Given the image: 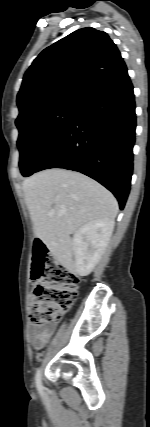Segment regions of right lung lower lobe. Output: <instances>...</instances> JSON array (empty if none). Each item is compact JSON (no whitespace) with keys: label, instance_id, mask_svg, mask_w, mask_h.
Listing matches in <instances>:
<instances>
[{"label":"right lung lower lobe","instance_id":"98d812e1","mask_svg":"<svg viewBox=\"0 0 150 427\" xmlns=\"http://www.w3.org/2000/svg\"><path fill=\"white\" fill-rule=\"evenodd\" d=\"M135 101L127 71L85 99L35 172L79 171L104 185L124 208L133 171Z\"/></svg>","mask_w":150,"mask_h":427}]
</instances>
